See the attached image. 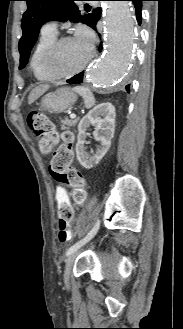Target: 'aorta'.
Returning a JSON list of instances; mask_svg holds the SVG:
<instances>
[{
    "mask_svg": "<svg viewBox=\"0 0 183 329\" xmlns=\"http://www.w3.org/2000/svg\"><path fill=\"white\" fill-rule=\"evenodd\" d=\"M106 50L89 71V80L110 89L124 77L135 39L134 12L126 1L108 2L105 9Z\"/></svg>",
    "mask_w": 183,
    "mask_h": 329,
    "instance_id": "aorta-1",
    "label": "aorta"
}]
</instances>
